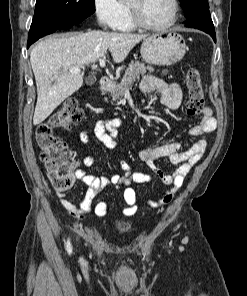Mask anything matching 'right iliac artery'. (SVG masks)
<instances>
[{"mask_svg":"<svg viewBox=\"0 0 247 296\" xmlns=\"http://www.w3.org/2000/svg\"><path fill=\"white\" fill-rule=\"evenodd\" d=\"M66 247H67L68 253L71 254L72 248H71V244H70V241L69 240L67 241V246Z\"/></svg>","mask_w":247,"mask_h":296,"instance_id":"right-iliac-artery-1","label":"right iliac artery"}]
</instances>
